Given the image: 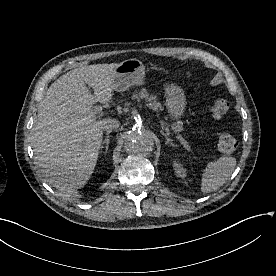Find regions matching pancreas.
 Instances as JSON below:
<instances>
[{
  "instance_id": "obj_1",
  "label": "pancreas",
  "mask_w": 276,
  "mask_h": 276,
  "mask_svg": "<svg viewBox=\"0 0 276 276\" xmlns=\"http://www.w3.org/2000/svg\"><path fill=\"white\" fill-rule=\"evenodd\" d=\"M132 99L137 100L138 102H140L141 100L150 102V108L155 111L162 109V105L160 102L157 101V97L154 95H149V93L145 89H142L140 92L134 93L132 96ZM174 130L176 132L181 131L182 130L181 123H178L177 125H175Z\"/></svg>"
}]
</instances>
